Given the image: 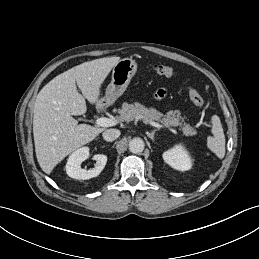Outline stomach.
Instances as JSON below:
<instances>
[{
  "mask_svg": "<svg viewBox=\"0 0 259 259\" xmlns=\"http://www.w3.org/2000/svg\"><path fill=\"white\" fill-rule=\"evenodd\" d=\"M136 71L137 63L132 58L119 60L113 67L112 80L106 88L102 102L113 104L125 92Z\"/></svg>",
  "mask_w": 259,
  "mask_h": 259,
  "instance_id": "1",
  "label": "stomach"
}]
</instances>
